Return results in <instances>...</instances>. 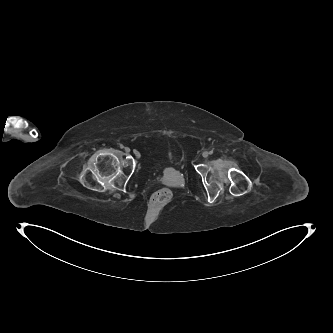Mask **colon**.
Wrapping results in <instances>:
<instances>
[{"label":"colon","mask_w":333,"mask_h":333,"mask_svg":"<svg viewBox=\"0 0 333 333\" xmlns=\"http://www.w3.org/2000/svg\"><path fill=\"white\" fill-rule=\"evenodd\" d=\"M172 191L168 188H162L156 191L151 199L150 204L155 209H162L166 207L172 200Z\"/></svg>","instance_id":"obj_1"}]
</instances>
